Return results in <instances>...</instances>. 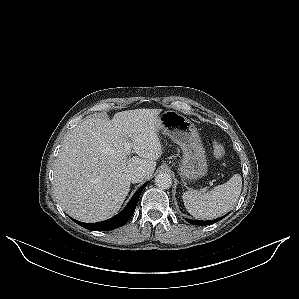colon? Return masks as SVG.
<instances>
[{
    "instance_id": "colon-1",
    "label": "colon",
    "mask_w": 299,
    "mask_h": 299,
    "mask_svg": "<svg viewBox=\"0 0 299 299\" xmlns=\"http://www.w3.org/2000/svg\"><path fill=\"white\" fill-rule=\"evenodd\" d=\"M213 153L216 158H222L225 155V149L223 145L217 141L212 142Z\"/></svg>"
}]
</instances>
